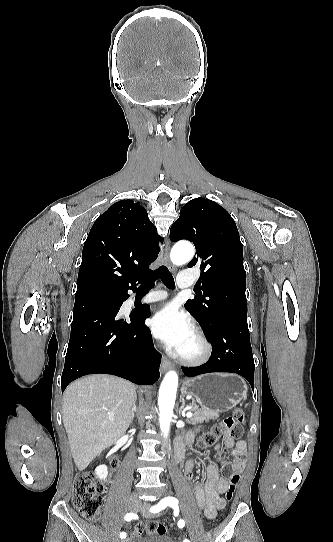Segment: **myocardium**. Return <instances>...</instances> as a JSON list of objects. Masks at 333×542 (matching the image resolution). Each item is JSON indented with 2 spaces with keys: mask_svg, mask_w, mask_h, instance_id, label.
I'll list each match as a JSON object with an SVG mask.
<instances>
[{
  "mask_svg": "<svg viewBox=\"0 0 333 542\" xmlns=\"http://www.w3.org/2000/svg\"><path fill=\"white\" fill-rule=\"evenodd\" d=\"M194 334L196 336V339L199 345L198 353L190 357L172 354L171 356L176 362L182 365H186V366H200L207 363L209 359L211 358L212 346L210 342L208 341L204 332L199 329H196Z\"/></svg>",
  "mask_w": 333,
  "mask_h": 542,
  "instance_id": "obj_1",
  "label": "myocardium"
}]
</instances>
